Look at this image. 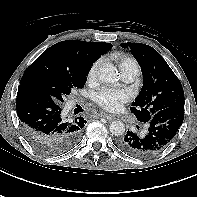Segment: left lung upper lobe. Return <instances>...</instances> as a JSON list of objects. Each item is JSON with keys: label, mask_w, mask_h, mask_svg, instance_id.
Returning a JSON list of instances; mask_svg holds the SVG:
<instances>
[{"label": "left lung upper lobe", "mask_w": 197, "mask_h": 197, "mask_svg": "<svg viewBox=\"0 0 197 197\" xmlns=\"http://www.w3.org/2000/svg\"><path fill=\"white\" fill-rule=\"evenodd\" d=\"M121 46L130 50L143 74V87L130 108L137 120L147 123L160 110L184 107V91L179 79L154 48L130 42Z\"/></svg>", "instance_id": "1"}]
</instances>
